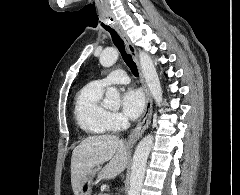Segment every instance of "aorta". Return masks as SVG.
<instances>
[{
	"label": "aorta",
	"mask_w": 240,
	"mask_h": 195,
	"mask_svg": "<svg viewBox=\"0 0 240 195\" xmlns=\"http://www.w3.org/2000/svg\"><path fill=\"white\" fill-rule=\"evenodd\" d=\"M118 60V52L115 48H106L104 52H102L99 62L101 66L104 68H110L113 64H116ZM139 60L141 66V72L143 74V78H145V82L149 88V92L152 98L155 99L157 105H161L163 101L162 88L160 84V80L158 78V74L156 72V68L153 64V60H151L149 54L146 52H139ZM106 99H108L109 103H114V101H119L120 94L117 88H107V92L105 94ZM154 137L149 133V135H145L141 141H139L135 153L133 155V163L130 175V187L128 191V195H140L146 163L148 159V155L150 153V149L153 145Z\"/></svg>",
	"instance_id": "762f6f07"
}]
</instances>
